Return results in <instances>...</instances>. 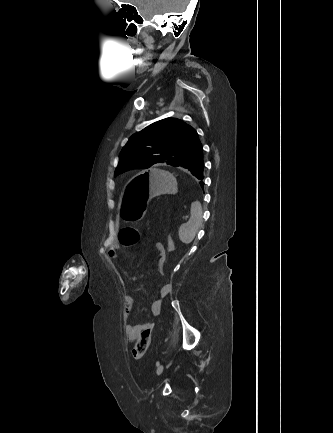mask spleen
I'll list each match as a JSON object with an SVG mask.
<instances>
[{"label": "spleen", "mask_w": 333, "mask_h": 433, "mask_svg": "<svg viewBox=\"0 0 333 433\" xmlns=\"http://www.w3.org/2000/svg\"><path fill=\"white\" fill-rule=\"evenodd\" d=\"M171 193H176V192H171ZM201 224H202V208L198 202H194L191 205L190 219L188 220V222L182 224L179 228V239L185 244L191 243L195 238Z\"/></svg>", "instance_id": "spleen-1"}]
</instances>
